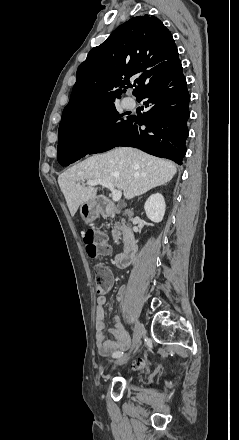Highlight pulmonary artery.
<instances>
[{"mask_svg":"<svg viewBox=\"0 0 239 440\" xmlns=\"http://www.w3.org/2000/svg\"><path fill=\"white\" fill-rule=\"evenodd\" d=\"M123 107L127 110H133L136 107V101L133 98L126 97L123 99Z\"/></svg>","mask_w":239,"mask_h":440,"instance_id":"obj_1","label":"pulmonary artery"}]
</instances>
